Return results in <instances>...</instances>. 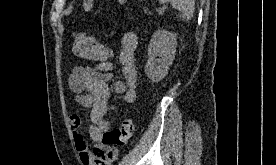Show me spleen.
Segmentation results:
<instances>
[{
	"label": "spleen",
	"mask_w": 276,
	"mask_h": 165,
	"mask_svg": "<svg viewBox=\"0 0 276 165\" xmlns=\"http://www.w3.org/2000/svg\"><path fill=\"white\" fill-rule=\"evenodd\" d=\"M161 3L170 2L174 9L180 11L182 20L189 21L193 17L195 0H160Z\"/></svg>",
	"instance_id": "obj_1"
}]
</instances>
